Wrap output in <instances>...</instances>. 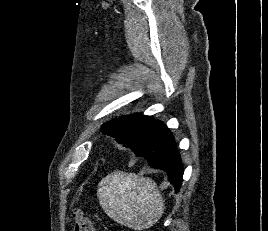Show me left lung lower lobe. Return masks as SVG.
Masks as SVG:
<instances>
[{
	"label": "left lung lower lobe",
	"mask_w": 268,
	"mask_h": 231,
	"mask_svg": "<svg viewBox=\"0 0 268 231\" xmlns=\"http://www.w3.org/2000/svg\"><path fill=\"white\" fill-rule=\"evenodd\" d=\"M140 157H144L153 168L164 170L175 191L182 183L183 167L175 140L166 125L162 126L147 141L130 147Z\"/></svg>",
	"instance_id": "0a47b994"
}]
</instances>
